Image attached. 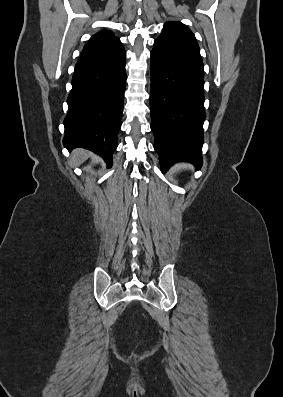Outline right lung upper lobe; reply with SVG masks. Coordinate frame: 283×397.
Here are the masks:
<instances>
[{
	"label": "right lung upper lobe",
	"mask_w": 283,
	"mask_h": 397,
	"mask_svg": "<svg viewBox=\"0 0 283 397\" xmlns=\"http://www.w3.org/2000/svg\"><path fill=\"white\" fill-rule=\"evenodd\" d=\"M126 56L120 40L109 30L93 35L84 46L75 70H82L118 61Z\"/></svg>",
	"instance_id": "cb5924a9"
}]
</instances>
